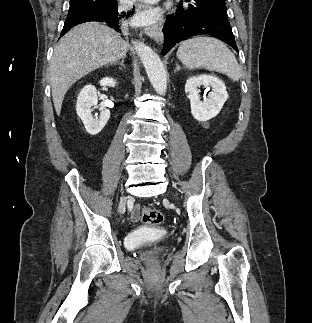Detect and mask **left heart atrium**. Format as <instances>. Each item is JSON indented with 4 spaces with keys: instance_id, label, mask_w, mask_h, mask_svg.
Segmentation results:
<instances>
[{
    "instance_id": "1",
    "label": "left heart atrium",
    "mask_w": 312,
    "mask_h": 323,
    "mask_svg": "<svg viewBox=\"0 0 312 323\" xmlns=\"http://www.w3.org/2000/svg\"><path fill=\"white\" fill-rule=\"evenodd\" d=\"M131 4H157L158 0H130Z\"/></svg>"
}]
</instances>
